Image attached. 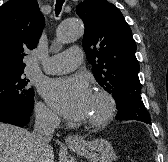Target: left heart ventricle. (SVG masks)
Returning <instances> with one entry per match:
<instances>
[{
	"label": "left heart ventricle",
	"mask_w": 168,
	"mask_h": 162,
	"mask_svg": "<svg viewBox=\"0 0 168 162\" xmlns=\"http://www.w3.org/2000/svg\"><path fill=\"white\" fill-rule=\"evenodd\" d=\"M103 108H104V106H103L102 101L99 100L98 98L92 96L86 120L88 121L92 118L99 116L102 113Z\"/></svg>",
	"instance_id": "left-heart-ventricle-1"
}]
</instances>
